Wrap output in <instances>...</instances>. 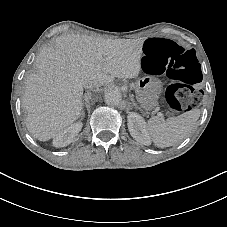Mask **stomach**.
Wrapping results in <instances>:
<instances>
[{
  "instance_id": "0dacf381",
  "label": "stomach",
  "mask_w": 227,
  "mask_h": 227,
  "mask_svg": "<svg viewBox=\"0 0 227 227\" xmlns=\"http://www.w3.org/2000/svg\"><path fill=\"white\" fill-rule=\"evenodd\" d=\"M135 93L144 110L150 111L158 105L153 76L147 75L138 78L135 83Z\"/></svg>"
}]
</instances>
